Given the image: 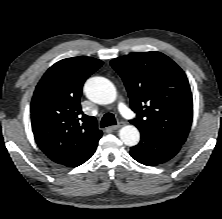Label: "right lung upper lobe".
Wrapping results in <instances>:
<instances>
[{
	"label": "right lung upper lobe",
	"instance_id": "1",
	"mask_svg": "<svg viewBox=\"0 0 222 219\" xmlns=\"http://www.w3.org/2000/svg\"><path fill=\"white\" fill-rule=\"evenodd\" d=\"M92 57H72L51 66L39 81L31 102V123L39 148L54 162L81 165L95 150L102 132L85 115L80 96L85 80L102 66Z\"/></svg>",
	"mask_w": 222,
	"mask_h": 219
}]
</instances>
